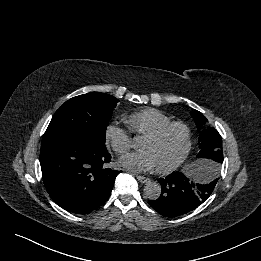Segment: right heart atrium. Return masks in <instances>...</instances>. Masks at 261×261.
I'll return each mask as SVG.
<instances>
[{"label": "right heart atrium", "mask_w": 261, "mask_h": 261, "mask_svg": "<svg viewBox=\"0 0 261 261\" xmlns=\"http://www.w3.org/2000/svg\"><path fill=\"white\" fill-rule=\"evenodd\" d=\"M104 138L106 144L117 154H124L132 147L130 132L115 123L107 124Z\"/></svg>", "instance_id": "d8ad5b80"}]
</instances>
